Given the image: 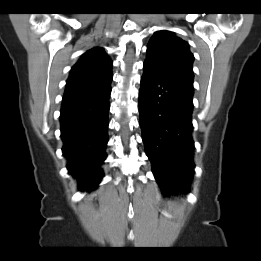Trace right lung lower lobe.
Wrapping results in <instances>:
<instances>
[{"label": "right lung lower lobe", "instance_id": "98d812e1", "mask_svg": "<svg viewBox=\"0 0 261 261\" xmlns=\"http://www.w3.org/2000/svg\"><path fill=\"white\" fill-rule=\"evenodd\" d=\"M110 83L106 86L67 94L63 97L60 122L62 152L67 169L80 190H92L103 177L106 159Z\"/></svg>", "mask_w": 261, "mask_h": 261}]
</instances>
